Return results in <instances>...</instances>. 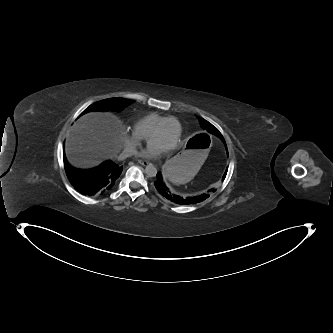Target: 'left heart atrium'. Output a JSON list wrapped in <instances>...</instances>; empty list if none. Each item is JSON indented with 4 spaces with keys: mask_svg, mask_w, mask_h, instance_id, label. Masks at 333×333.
I'll list each match as a JSON object with an SVG mask.
<instances>
[{
    "mask_svg": "<svg viewBox=\"0 0 333 333\" xmlns=\"http://www.w3.org/2000/svg\"><path fill=\"white\" fill-rule=\"evenodd\" d=\"M164 152H165V149H162V148L150 143L147 150L142 153V156L147 157V158H155V157L160 156Z\"/></svg>",
    "mask_w": 333,
    "mask_h": 333,
    "instance_id": "39dd6f15",
    "label": "left heart atrium"
}]
</instances>
